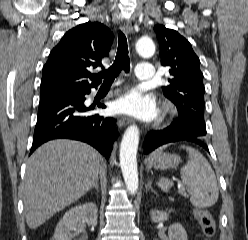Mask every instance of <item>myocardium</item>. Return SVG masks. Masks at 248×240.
Listing matches in <instances>:
<instances>
[{"label": "myocardium", "mask_w": 248, "mask_h": 240, "mask_svg": "<svg viewBox=\"0 0 248 240\" xmlns=\"http://www.w3.org/2000/svg\"><path fill=\"white\" fill-rule=\"evenodd\" d=\"M177 109L171 102H165L161 109V115L165 118H172L176 115Z\"/></svg>", "instance_id": "obj_1"}]
</instances>
